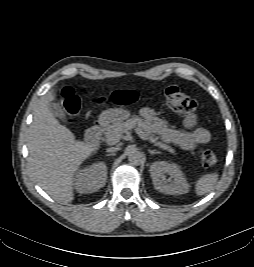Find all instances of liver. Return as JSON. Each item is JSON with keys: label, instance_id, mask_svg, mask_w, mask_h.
I'll return each instance as SVG.
<instances>
[{"label": "liver", "instance_id": "obj_1", "mask_svg": "<svg viewBox=\"0 0 254 267\" xmlns=\"http://www.w3.org/2000/svg\"><path fill=\"white\" fill-rule=\"evenodd\" d=\"M55 99L53 91L41 98L34 110L28 134V162L37 184L54 200L68 204L74 199V175L95 149L75 140L49 111Z\"/></svg>", "mask_w": 254, "mask_h": 267}]
</instances>
